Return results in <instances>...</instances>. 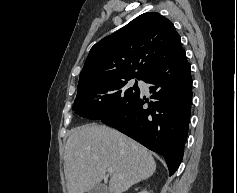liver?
<instances>
[{
	"label": "liver",
	"instance_id": "liver-1",
	"mask_svg": "<svg viewBox=\"0 0 237 193\" xmlns=\"http://www.w3.org/2000/svg\"><path fill=\"white\" fill-rule=\"evenodd\" d=\"M68 193H85L99 184L111 167L110 193H123L151 177L156 162L150 151L104 125L85 124L72 130L65 147Z\"/></svg>",
	"mask_w": 237,
	"mask_h": 193
}]
</instances>
